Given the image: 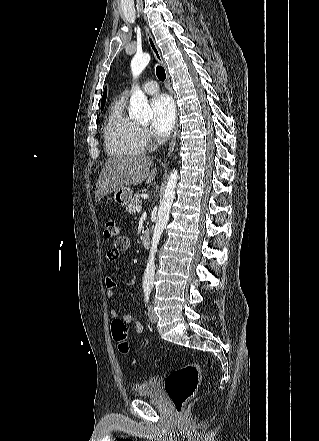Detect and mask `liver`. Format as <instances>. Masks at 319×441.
Masks as SVG:
<instances>
[{
	"instance_id": "liver-1",
	"label": "liver",
	"mask_w": 319,
	"mask_h": 441,
	"mask_svg": "<svg viewBox=\"0 0 319 441\" xmlns=\"http://www.w3.org/2000/svg\"><path fill=\"white\" fill-rule=\"evenodd\" d=\"M151 157L147 156H117L107 159L101 170L95 191V200L115 192L128 185L151 183L157 174L156 167L150 172Z\"/></svg>"
}]
</instances>
